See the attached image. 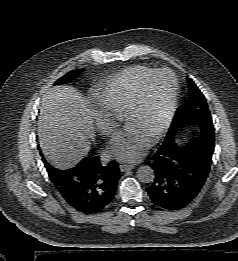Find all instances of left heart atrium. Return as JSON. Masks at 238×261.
<instances>
[{
	"mask_svg": "<svg viewBox=\"0 0 238 261\" xmlns=\"http://www.w3.org/2000/svg\"><path fill=\"white\" fill-rule=\"evenodd\" d=\"M152 135H148L134 125L118 132L110 141L109 152L120 160L137 162L151 145Z\"/></svg>",
	"mask_w": 238,
	"mask_h": 261,
	"instance_id": "left-heart-atrium-1",
	"label": "left heart atrium"
}]
</instances>
